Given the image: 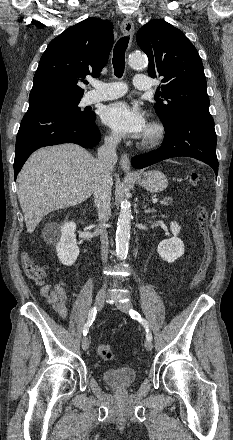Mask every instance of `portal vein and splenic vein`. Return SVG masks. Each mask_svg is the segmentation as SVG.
I'll return each instance as SVG.
<instances>
[{
  "instance_id": "18ae733b",
  "label": "portal vein and splenic vein",
  "mask_w": 233,
  "mask_h": 440,
  "mask_svg": "<svg viewBox=\"0 0 233 440\" xmlns=\"http://www.w3.org/2000/svg\"><path fill=\"white\" fill-rule=\"evenodd\" d=\"M152 202H153V203H157V202H158V199H154Z\"/></svg>"
}]
</instances>
